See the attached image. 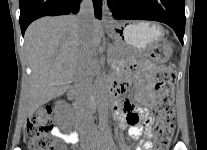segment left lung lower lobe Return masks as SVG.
<instances>
[{"mask_svg":"<svg viewBox=\"0 0 207 150\" xmlns=\"http://www.w3.org/2000/svg\"><path fill=\"white\" fill-rule=\"evenodd\" d=\"M115 19L154 20L169 25L183 45L185 0H108Z\"/></svg>","mask_w":207,"mask_h":150,"instance_id":"0a47b994","label":"left lung lower lobe"}]
</instances>
